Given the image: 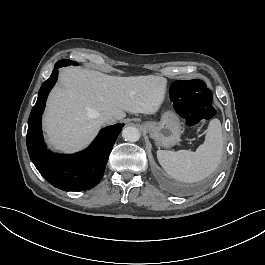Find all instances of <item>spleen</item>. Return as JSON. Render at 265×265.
Masks as SVG:
<instances>
[{
    "mask_svg": "<svg viewBox=\"0 0 265 265\" xmlns=\"http://www.w3.org/2000/svg\"><path fill=\"white\" fill-rule=\"evenodd\" d=\"M223 154V136L219 119L209 123L205 141L195 152L158 150L160 165L172 178L194 183L210 176L218 167Z\"/></svg>",
    "mask_w": 265,
    "mask_h": 265,
    "instance_id": "1",
    "label": "spleen"
}]
</instances>
